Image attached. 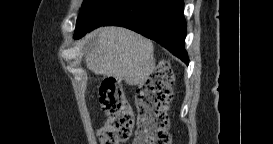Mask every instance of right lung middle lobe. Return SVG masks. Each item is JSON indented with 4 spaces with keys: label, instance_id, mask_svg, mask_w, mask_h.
Segmentation results:
<instances>
[{
    "label": "right lung middle lobe",
    "instance_id": "1",
    "mask_svg": "<svg viewBox=\"0 0 273 144\" xmlns=\"http://www.w3.org/2000/svg\"><path fill=\"white\" fill-rule=\"evenodd\" d=\"M113 0H84L81 15L78 16L74 38L84 36L90 29V25L98 14Z\"/></svg>",
    "mask_w": 273,
    "mask_h": 144
}]
</instances>
